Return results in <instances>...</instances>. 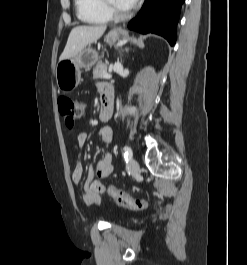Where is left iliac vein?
Masks as SVG:
<instances>
[{
  "mask_svg": "<svg viewBox=\"0 0 247 265\" xmlns=\"http://www.w3.org/2000/svg\"><path fill=\"white\" fill-rule=\"evenodd\" d=\"M129 168H130V171L133 174L138 173L139 172V164H138V162L135 159H131L130 162H129Z\"/></svg>",
  "mask_w": 247,
  "mask_h": 265,
  "instance_id": "left-iliac-vein-1",
  "label": "left iliac vein"
}]
</instances>
